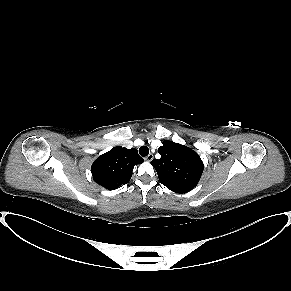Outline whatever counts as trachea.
<instances>
[{
  "instance_id": "1",
  "label": "trachea",
  "mask_w": 291,
  "mask_h": 291,
  "mask_svg": "<svg viewBox=\"0 0 291 291\" xmlns=\"http://www.w3.org/2000/svg\"><path fill=\"white\" fill-rule=\"evenodd\" d=\"M139 154H140L141 156H143V157L148 156V154H149V149H148V147H146V146H142V147H140V149H139Z\"/></svg>"
}]
</instances>
